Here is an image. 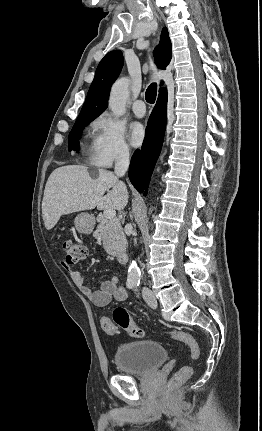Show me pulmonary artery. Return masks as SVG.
Segmentation results:
<instances>
[{
	"label": "pulmonary artery",
	"instance_id": "e3ab8cb5",
	"mask_svg": "<svg viewBox=\"0 0 262 431\" xmlns=\"http://www.w3.org/2000/svg\"><path fill=\"white\" fill-rule=\"evenodd\" d=\"M132 111L137 117H142L146 113V107L143 100L138 99L132 105Z\"/></svg>",
	"mask_w": 262,
	"mask_h": 431
}]
</instances>
